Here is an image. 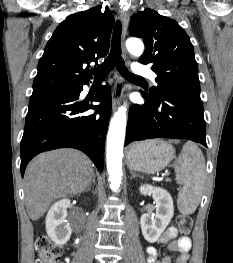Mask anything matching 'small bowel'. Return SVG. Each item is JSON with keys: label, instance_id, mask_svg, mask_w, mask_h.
I'll return each instance as SVG.
<instances>
[{"label": "small bowel", "instance_id": "small-bowel-1", "mask_svg": "<svg viewBox=\"0 0 233 263\" xmlns=\"http://www.w3.org/2000/svg\"><path fill=\"white\" fill-rule=\"evenodd\" d=\"M158 244H167L170 253H176L174 257L165 256L158 258V250L154 246L146 247L147 263H187L189 253L192 248V241L186 235L179 236V231L175 226L168 227L157 241ZM69 263V259H65Z\"/></svg>", "mask_w": 233, "mask_h": 263}]
</instances>
